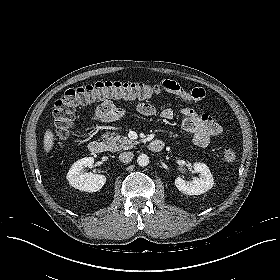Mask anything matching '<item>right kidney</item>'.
Masks as SVG:
<instances>
[{
	"label": "right kidney",
	"instance_id": "obj_1",
	"mask_svg": "<svg viewBox=\"0 0 280 280\" xmlns=\"http://www.w3.org/2000/svg\"><path fill=\"white\" fill-rule=\"evenodd\" d=\"M93 163V157H85L76 161L69 169L66 177L69 184L80 191H99L104 186L106 177L92 172L84 173V168L92 166Z\"/></svg>",
	"mask_w": 280,
	"mask_h": 280
}]
</instances>
